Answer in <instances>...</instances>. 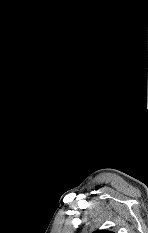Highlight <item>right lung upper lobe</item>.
Instances as JSON below:
<instances>
[{
  "label": "right lung upper lobe",
  "mask_w": 148,
  "mask_h": 233,
  "mask_svg": "<svg viewBox=\"0 0 148 233\" xmlns=\"http://www.w3.org/2000/svg\"><path fill=\"white\" fill-rule=\"evenodd\" d=\"M93 233H113V232L107 231V230H97V231H95Z\"/></svg>",
  "instance_id": "right-lung-upper-lobe-1"
}]
</instances>
